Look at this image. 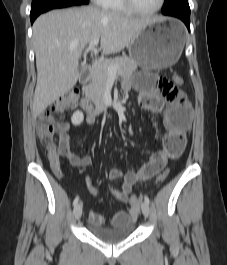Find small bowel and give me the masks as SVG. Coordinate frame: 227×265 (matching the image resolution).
I'll return each instance as SVG.
<instances>
[{
  "label": "small bowel",
  "mask_w": 227,
  "mask_h": 265,
  "mask_svg": "<svg viewBox=\"0 0 227 265\" xmlns=\"http://www.w3.org/2000/svg\"><path fill=\"white\" fill-rule=\"evenodd\" d=\"M135 77L125 80L122 89L129 91L135 89L138 92L139 105L150 112H163V125L166 135L163 140V147L152 154L150 159L137 171L123 172L120 169H110L108 178L110 180L122 179L119 190L112 189L113 195L123 203L130 202V195L133 186L155 176L168 162L170 158L179 156L185 147V131L191 123V108L183 91L178 89L167 79L160 78L156 72H133ZM165 104L167 109L163 111ZM95 118L87 116V122L92 124ZM69 122H58L55 125V132L58 135V143L49 150V160L52 171L57 177H61L59 157L66 158L71 164L79 167H86L91 164L89 156H79L70 149ZM88 188L92 195L98 190L88 181ZM133 211L117 212L111 219L114 226L122 225L133 219ZM88 221L91 225L101 226L105 218L96 212H89Z\"/></svg>",
  "instance_id": "c3829d8e"
}]
</instances>
